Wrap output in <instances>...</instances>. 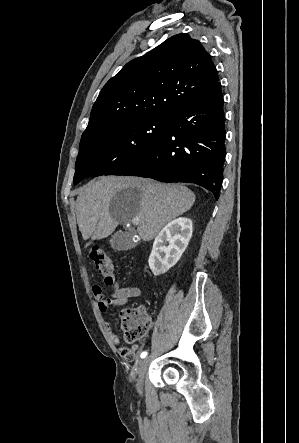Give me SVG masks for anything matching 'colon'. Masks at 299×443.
I'll return each instance as SVG.
<instances>
[{"mask_svg": "<svg viewBox=\"0 0 299 443\" xmlns=\"http://www.w3.org/2000/svg\"><path fill=\"white\" fill-rule=\"evenodd\" d=\"M89 257L102 275L107 286L115 285L114 262L111 256L100 246L92 245L89 248ZM121 328L123 339L127 344H133L143 339L151 326L150 317L140 307L121 311ZM124 356L130 355L128 349H124Z\"/></svg>", "mask_w": 299, "mask_h": 443, "instance_id": "1", "label": "colon"}]
</instances>
